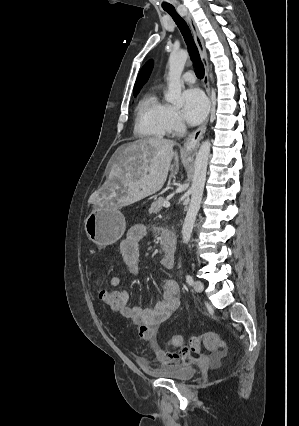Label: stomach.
Returning <instances> with one entry per match:
<instances>
[{"mask_svg": "<svg viewBox=\"0 0 299 426\" xmlns=\"http://www.w3.org/2000/svg\"><path fill=\"white\" fill-rule=\"evenodd\" d=\"M124 215L115 205L98 206L92 210L85 220V231L88 238L101 247L117 242L125 232Z\"/></svg>", "mask_w": 299, "mask_h": 426, "instance_id": "obj_1", "label": "stomach"}]
</instances>
